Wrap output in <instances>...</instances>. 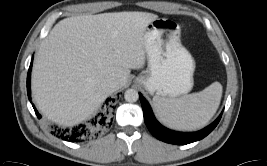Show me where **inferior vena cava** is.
Here are the masks:
<instances>
[{
    "label": "inferior vena cava",
    "mask_w": 267,
    "mask_h": 166,
    "mask_svg": "<svg viewBox=\"0 0 267 166\" xmlns=\"http://www.w3.org/2000/svg\"><path fill=\"white\" fill-rule=\"evenodd\" d=\"M105 86H106V90L110 93H112L118 89V83L116 81L109 82Z\"/></svg>",
    "instance_id": "inferior-vena-cava-1"
}]
</instances>
